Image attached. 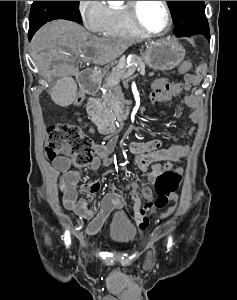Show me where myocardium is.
Returning a JSON list of instances; mask_svg holds the SVG:
<instances>
[{"instance_id":"myocardium-1","label":"myocardium","mask_w":237,"mask_h":300,"mask_svg":"<svg viewBox=\"0 0 237 300\" xmlns=\"http://www.w3.org/2000/svg\"><path fill=\"white\" fill-rule=\"evenodd\" d=\"M140 4H141V1H127L126 2V7L128 10L130 19H131L132 23L134 24V26L140 32L151 35V36L161 37V36L166 35L170 31L171 26H172V13H171V8L169 5V2L162 1V4L165 9V13H166V25H165V28L160 32L151 31L142 24V22L140 20V16H139Z\"/></svg>"}]
</instances>
